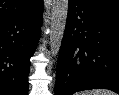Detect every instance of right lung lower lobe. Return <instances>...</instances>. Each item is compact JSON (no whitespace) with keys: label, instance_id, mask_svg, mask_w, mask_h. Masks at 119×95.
Wrapping results in <instances>:
<instances>
[{"label":"right lung lower lobe","instance_id":"1","mask_svg":"<svg viewBox=\"0 0 119 95\" xmlns=\"http://www.w3.org/2000/svg\"><path fill=\"white\" fill-rule=\"evenodd\" d=\"M43 0L0 23V95H27L30 61L42 25Z\"/></svg>","mask_w":119,"mask_h":95}]
</instances>
